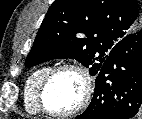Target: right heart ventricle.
Instances as JSON below:
<instances>
[{"label": "right heart ventricle", "instance_id": "e07e8e85", "mask_svg": "<svg viewBox=\"0 0 142 119\" xmlns=\"http://www.w3.org/2000/svg\"><path fill=\"white\" fill-rule=\"evenodd\" d=\"M50 69V66H42L33 71L25 81L23 100L26 110L31 114L40 113L37 104V91L42 79Z\"/></svg>", "mask_w": 142, "mask_h": 119}]
</instances>
